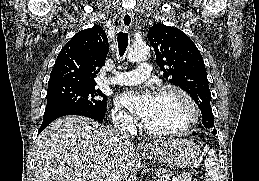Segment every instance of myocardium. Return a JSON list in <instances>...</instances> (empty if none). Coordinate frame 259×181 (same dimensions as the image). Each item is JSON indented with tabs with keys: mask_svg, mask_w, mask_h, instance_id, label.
<instances>
[{
	"mask_svg": "<svg viewBox=\"0 0 259 181\" xmlns=\"http://www.w3.org/2000/svg\"><path fill=\"white\" fill-rule=\"evenodd\" d=\"M172 92L177 94L187 105L189 110V120L188 122L177 129L173 130H157L149 127L144 121H142L141 125L142 128L150 135L156 136V137H173V136H179L183 135L190 130H192L199 120V111L198 108L192 99V97L181 87L174 85V84H166L161 87H159L155 93L154 96H160L164 93Z\"/></svg>",
	"mask_w": 259,
	"mask_h": 181,
	"instance_id": "myocardium-1",
	"label": "myocardium"
}]
</instances>
